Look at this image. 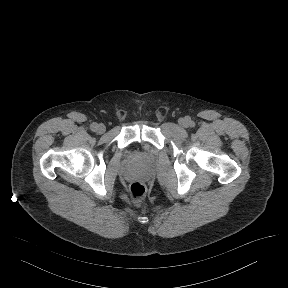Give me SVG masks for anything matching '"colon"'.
I'll use <instances>...</instances> for the list:
<instances>
[{"instance_id": "colon-1", "label": "colon", "mask_w": 288, "mask_h": 288, "mask_svg": "<svg viewBox=\"0 0 288 288\" xmlns=\"http://www.w3.org/2000/svg\"><path fill=\"white\" fill-rule=\"evenodd\" d=\"M130 199L138 204L144 200L147 195L146 188L139 182H133L128 190Z\"/></svg>"}]
</instances>
